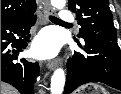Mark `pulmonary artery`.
I'll return each instance as SVG.
<instances>
[{
  "label": "pulmonary artery",
  "mask_w": 121,
  "mask_h": 94,
  "mask_svg": "<svg viewBox=\"0 0 121 94\" xmlns=\"http://www.w3.org/2000/svg\"><path fill=\"white\" fill-rule=\"evenodd\" d=\"M60 18L62 21L68 23V22H72L74 20L73 16L70 14L69 10H62L61 14H60Z\"/></svg>",
  "instance_id": "pulmonary-artery-1"
}]
</instances>
